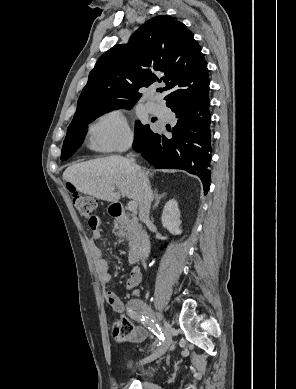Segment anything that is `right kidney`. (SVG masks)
I'll use <instances>...</instances> for the list:
<instances>
[{"label":"right kidney","mask_w":296,"mask_h":389,"mask_svg":"<svg viewBox=\"0 0 296 389\" xmlns=\"http://www.w3.org/2000/svg\"><path fill=\"white\" fill-rule=\"evenodd\" d=\"M162 225L172 234L180 235L182 230L180 229L181 220H180V210L178 208V203L176 200H169L164 208L162 213Z\"/></svg>","instance_id":"1"}]
</instances>
